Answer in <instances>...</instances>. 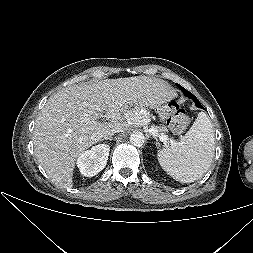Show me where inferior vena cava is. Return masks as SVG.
Instances as JSON below:
<instances>
[{"mask_svg":"<svg viewBox=\"0 0 253 253\" xmlns=\"http://www.w3.org/2000/svg\"><path fill=\"white\" fill-rule=\"evenodd\" d=\"M117 132H121L120 129H111L109 131H106L104 133V136L103 137H109V136H112L114 133H117Z\"/></svg>","mask_w":253,"mask_h":253,"instance_id":"obj_1","label":"inferior vena cava"}]
</instances>
